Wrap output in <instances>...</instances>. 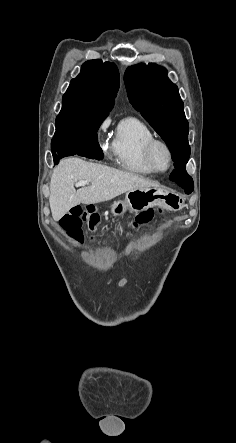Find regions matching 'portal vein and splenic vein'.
<instances>
[{
    "label": "portal vein and splenic vein",
    "instance_id": "18ae733b",
    "mask_svg": "<svg viewBox=\"0 0 236 443\" xmlns=\"http://www.w3.org/2000/svg\"><path fill=\"white\" fill-rule=\"evenodd\" d=\"M87 184V181H83V180H81V181H78L76 184H75V186L76 187H83V186H85Z\"/></svg>",
    "mask_w": 236,
    "mask_h": 443
}]
</instances>
